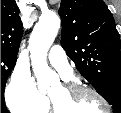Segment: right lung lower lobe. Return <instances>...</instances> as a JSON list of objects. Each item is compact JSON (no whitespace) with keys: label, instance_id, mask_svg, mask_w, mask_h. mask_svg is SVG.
Returning a JSON list of instances; mask_svg holds the SVG:
<instances>
[{"label":"right lung lower lobe","instance_id":"obj_1","mask_svg":"<svg viewBox=\"0 0 121 113\" xmlns=\"http://www.w3.org/2000/svg\"><path fill=\"white\" fill-rule=\"evenodd\" d=\"M1 113H8L6 107L1 106Z\"/></svg>","mask_w":121,"mask_h":113}]
</instances>
